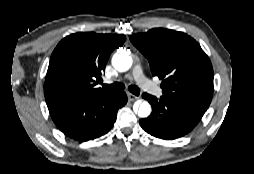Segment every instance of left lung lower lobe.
<instances>
[{
  "instance_id": "obj_1",
  "label": "left lung lower lobe",
  "mask_w": 254,
  "mask_h": 174,
  "mask_svg": "<svg viewBox=\"0 0 254 174\" xmlns=\"http://www.w3.org/2000/svg\"><path fill=\"white\" fill-rule=\"evenodd\" d=\"M152 106L148 118L141 119V127L152 136L176 139L189 133L201 120L205 110L192 105L172 102L164 97L157 99L147 93L142 95Z\"/></svg>"
}]
</instances>
